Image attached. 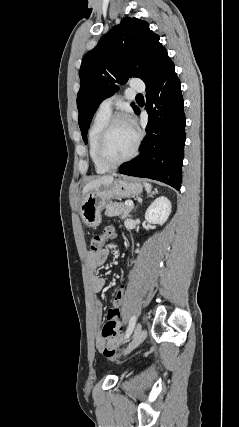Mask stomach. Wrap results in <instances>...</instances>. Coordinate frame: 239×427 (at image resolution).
Masks as SVG:
<instances>
[{"mask_svg":"<svg viewBox=\"0 0 239 427\" xmlns=\"http://www.w3.org/2000/svg\"><path fill=\"white\" fill-rule=\"evenodd\" d=\"M142 192V185L135 179L122 177L109 186H102L87 193L80 206L83 222L89 227H97L101 223V211L116 198H130Z\"/></svg>","mask_w":239,"mask_h":427,"instance_id":"0dacf381","label":"stomach"}]
</instances>
